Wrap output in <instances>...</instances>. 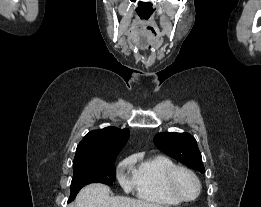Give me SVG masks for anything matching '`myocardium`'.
Returning a JSON list of instances; mask_svg holds the SVG:
<instances>
[{"mask_svg": "<svg viewBox=\"0 0 261 207\" xmlns=\"http://www.w3.org/2000/svg\"><path fill=\"white\" fill-rule=\"evenodd\" d=\"M180 172L187 173L195 181L197 185V192L194 197L186 198L178 191L175 182H176V177ZM165 185L168 192L180 202H192L196 200L201 193V182L198 176L191 169L185 166L176 165L175 167L171 168L166 174Z\"/></svg>", "mask_w": 261, "mask_h": 207, "instance_id": "f54148a6", "label": "myocardium"}]
</instances>
